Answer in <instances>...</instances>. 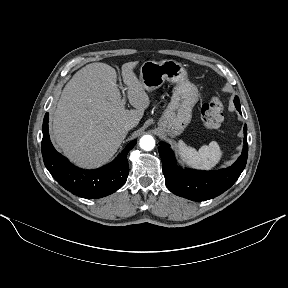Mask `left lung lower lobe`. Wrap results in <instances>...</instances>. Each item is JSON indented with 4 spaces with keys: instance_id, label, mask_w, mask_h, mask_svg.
I'll return each instance as SVG.
<instances>
[{
    "instance_id": "0a47b994",
    "label": "left lung lower lobe",
    "mask_w": 288,
    "mask_h": 288,
    "mask_svg": "<svg viewBox=\"0 0 288 288\" xmlns=\"http://www.w3.org/2000/svg\"><path fill=\"white\" fill-rule=\"evenodd\" d=\"M235 107L241 113L240 103ZM163 174L168 189L174 194L193 201L212 199L229 189L244 170L248 156L247 126H244V147L241 156L230 167L218 171H198L180 168L169 145L158 147Z\"/></svg>"
}]
</instances>
